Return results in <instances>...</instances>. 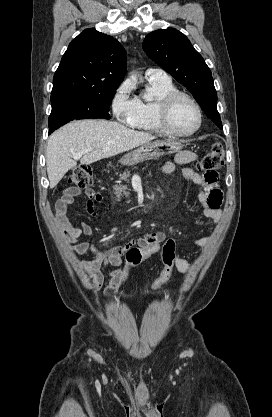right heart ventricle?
<instances>
[{
    "instance_id": "e07e8e85",
    "label": "right heart ventricle",
    "mask_w": 272,
    "mask_h": 417,
    "mask_svg": "<svg viewBox=\"0 0 272 417\" xmlns=\"http://www.w3.org/2000/svg\"><path fill=\"white\" fill-rule=\"evenodd\" d=\"M177 91L170 79L147 80L144 93L136 99V113L129 126L156 134H167L159 125L157 109L160 101L169 93Z\"/></svg>"
}]
</instances>
